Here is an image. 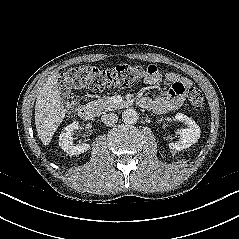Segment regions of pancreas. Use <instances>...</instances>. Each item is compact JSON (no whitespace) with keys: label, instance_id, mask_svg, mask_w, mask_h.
Returning a JSON list of instances; mask_svg holds the SVG:
<instances>
[{"label":"pancreas","instance_id":"pancreas-1","mask_svg":"<svg viewBox=\"0 0 239 239\" xmlns=\"http://www.w3.org/2000/svg\"><path fill=\"white\" fill-rule=\"evenodd\" d=\"M90 105L95 107L98 112L112 111L118 108L111 97L100 98L90 102Z\"/></svg>","mask_w":239,"mask_h":239}]
</instances>
